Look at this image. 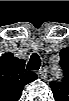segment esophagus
I'll return each mask as SVG.
<instances>
[{"instance_id":"obj_1","label":"esophagus","mask_w":69,"mask_h":101,"mask_svg":"<svg viewBox=\"0 0 69 101\" xmlns=\"http://www.w3.org/2000/svg\"><path fill=\"white\" fill-rule=\"evenodd\" d=\"M38 77L41 79H45L47 76V69L46 68H42L38 71Z\"/></svg>"}]
</instances>
